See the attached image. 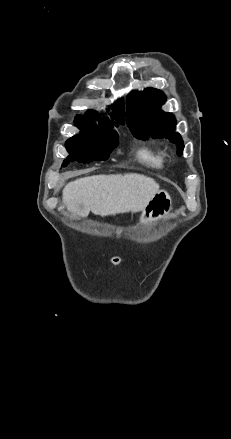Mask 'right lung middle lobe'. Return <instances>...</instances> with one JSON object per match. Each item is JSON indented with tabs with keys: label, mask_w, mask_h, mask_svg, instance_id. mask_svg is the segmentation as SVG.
Returning a JSON list of instances; mask_svg holds the SVG:
<instances>
[{
	"label": "right lung middle lobe",
	"mask_w": 231,
	"mask_h": 439,
	"mask_svg": "<svg viewBox=\"0 0 231 439\" xmlns=\"http://www.w3.org/2000/svg\"><path fill=\"white\" fill-rule=\"evenodd\" d=\"M75 124L80 128L81 133L66 141L69 156L62 166L73 161L89 163L107 159L109 153L118 144L117 132L107 127H97L88 121L76 120Z\"/></svg>",
	"instance_id": "dd1d6c3e"
}]
</instances>
